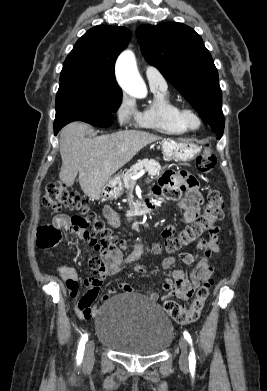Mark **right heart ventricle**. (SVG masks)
<instances>
[{"mask_svg":"<svg viewBox=\"0 0 267 391\" xmlns=\"http://www.w3.org/2000/svg\"><path fill=\"white\" fill-rule=\"evenodd\" d=\"M152 101L138 113L140 127L162 133L180 135L188 131L180 117V107L171 98L167 88L151 87Z\"/></svg>","mask_w":267,"mask_h":391,"instance_id":"right-heart-ventricle-1","label":"right heart ventricle"}]
</instances>
